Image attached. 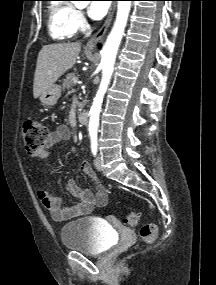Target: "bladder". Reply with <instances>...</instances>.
<instances>
[{
  "instance_id": "31cf9c89",
  "label": "bladder",
  "mask_w": 216,
  "mask_h": 285,
  "mask_svg": "<svg viewBox=\"0 0 216 285\" xmlns=\"http://www.w3.org/2000/svg\"><path fill=\"white\" fill-rule=\"evenodd\" d=\"M64 246L73 251L99 255L114 243L113 232L94 217H82L66 223L61 228Z\"/></svg>"
}]
</instances>
